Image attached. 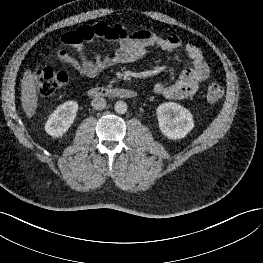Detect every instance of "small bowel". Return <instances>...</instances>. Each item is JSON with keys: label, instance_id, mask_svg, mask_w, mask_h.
<instances>
[{"label": "small bowel", "instance_id": "obj_1", "mask_svg": "<svg viewBox=\"0 0 263 263\" xmlns=\"http://www.w3.org/2000/svg\"><path fill=\"white\" fill-rule=\"evenodd\" d=\"M96 39L107 41L111 45V51L105 55L97 53L91 57L87 45ZM60 41L62 46L75 48L79 59L61 47L57 52L59 60L72 67L82 78H93L108 67L137 61L146 55L149 47L155 46L166 52L183 49L192 66L184 69L174 83L167 85L157 82L153 86L154 93L168 99H185L193 96L199 84L210 74V67L200 49L185 43L177 35L164 37L150 30L128 33L120 24L98 22L66 32Z\"/></svg>", "mask_w": 263, "mask_h": 263}]
</instances>
